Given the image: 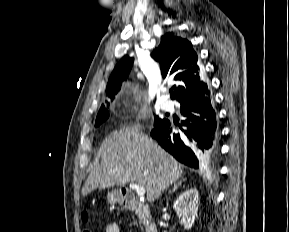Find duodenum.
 <instances>
[{
	"instance_id": "obj_1",
	"label": "duodenum",
	"mask_w": 289,
	"mask_h": 232,
	"mask_svg": "<svg viewBox=\"0 0 289 232\" xmlns=\"http://www.w3.org/2000/svg\"><path fill=\"white\" fill-rule=\"evenodd\" d=\"M119 202L128 210L138 213L145 223V232H158L157 225L147 205L139 203L134 193L128 189H122L118 195Z\"/></svg>"
}]
</instances>
